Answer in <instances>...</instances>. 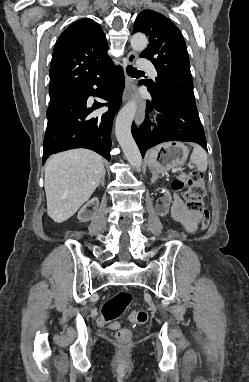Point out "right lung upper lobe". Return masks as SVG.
<instances>
[{
	"mask_svg": "<svg viewBox=\"0 0 249 382\" xmlns=\"http://www.w3.org/2000/svg\"><path fill=\"white\" fill-rule=\"evenodd\" d=\"M101 27L83 18L71 24L56 41L51 65L50 104H56L82 87L110 58Z\"/></svg>",
	"mask_w": 249,
	"mask_h": 382,
	"instance_id": "cb5924a9",
	"label": "right lung upper lobe"
}]
</instances>
